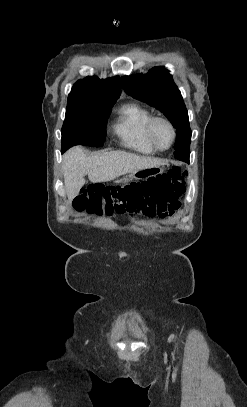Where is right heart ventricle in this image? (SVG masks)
Returning a JSON list of instances; mask_svg holds the SVG:
<instances>
[{
	"label": "right heart ventricle",
	"mask_w": 247,
	"mask_h": 407,
	"mask_svg": "<svg viewBox=\"0 0 247 407\" xmlns=\"http://www.w3.org/2000/svg\"><path fill=\"white\" fill-rule=\"evenodd\" d=\"M153 114L139 104H127L118 111L114 131L122 144L142 154H154L157 150L151 144L147 128Z\"/></svg>",
	"instance_id": "e07e8e85"
}]
</instances>
